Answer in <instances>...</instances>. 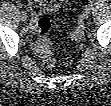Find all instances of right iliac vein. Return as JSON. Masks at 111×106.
<instances>
[{"label": "right iliac vein", "mask_w": 111, "mask_h": 106, "mask_svg": "<svg viewBox=\"0 0 111 106\" xmlns=\"http://www.w3.org/2000/svg\"><path fill=\"white\" fill-rule=\"evenodd\" d=\"M21 20H22L23 22H25V21L27 20V16L21 15Z\"/></svg>", "instance_id": "right-iliac-vein-1"}]
</instances>
